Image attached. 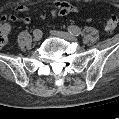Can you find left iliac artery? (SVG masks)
<instances>
[{
    "mask_svg": "<svg viewBox=\"0 0 119 119\" xmlns=\"http://www.w3.org/2000/svg\"><path fill=\"white\" fill-rule=\"evenodd\" d=\"M68 31L70 32V34L75 36H80L82 34L81 29L77 26H69Z\"/></svg>",
    "mask_w": 119,
    "mask_h": 119,
    "instance_id": "obj_1",
    "label": "left iliac artery"
}]
</instances>
